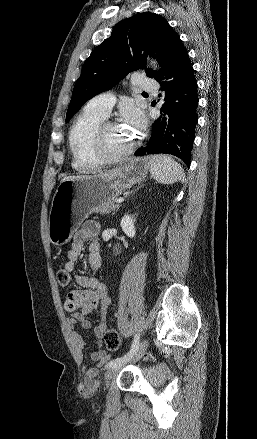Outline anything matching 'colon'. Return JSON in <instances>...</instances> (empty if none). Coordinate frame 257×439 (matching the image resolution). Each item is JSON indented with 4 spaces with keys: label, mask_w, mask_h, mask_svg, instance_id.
Wrapping results in <instances>:
<instances>
[{
    "label": "colon",
    "mask_w": 257,
    "mask_h": 439,
    "mask_svg": "<svg viewBox=\"0 0 257 439\" xmlns=\"http://www.w3.org/2000/svg\"><path fill=\"white\" fill-rule=\"evenodd\" d=\"M57 281L60 286H67L70 283V274L64 270L57 271ZM103 340L109 350H118L121 346L122 340L118 332L114 329H107L103 334Z\"/></svg>",
    "instance_id": "obj_1"
}]
</instances>
